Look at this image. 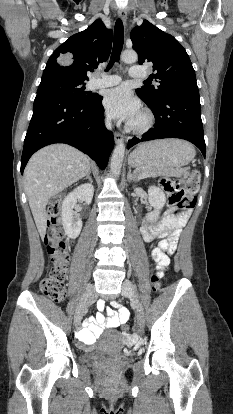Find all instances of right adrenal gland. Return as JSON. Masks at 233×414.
Masks as SVG:
<instances>
[{
    "label": "right adrenal gland",
    "mask_w": 233,
    "mask_h": 414,
    "mask_svg": "<svg viewBox=\"0 0 233 414\" xmlns=\"http://www.w3.org/2000/svg\"><path fill=\"white\" fill-rule=\"evenodd\" d=\"M90 174H91V171H89V173L86 175L85 178L89 179V181L92 183V178H91Z\"/></svg>",
    "instance_id": "1"
}]
</instances>
